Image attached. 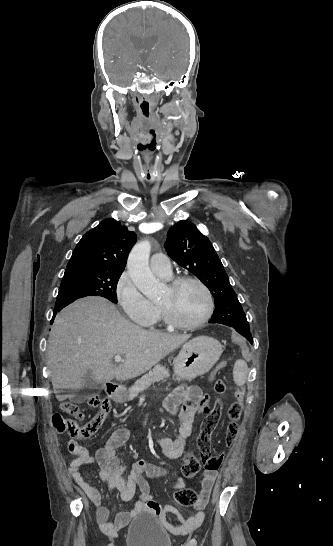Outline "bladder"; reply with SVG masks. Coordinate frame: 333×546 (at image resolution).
Segmentation results:
<instances>
[{
    "label": "bladder",
    "instance_id": "1",
    "mask_svg": "<svg viewBox=\"0 0 333 546\" xmlns=\"http://www.w3.org/2000/svg\"><path fill=\"white\" fill-rule=\"evenodd\" d=\"M126 543L127 546H172L167 531L152 514L139 515L131 522Z\"/></svg>",
    "mask_w": 333,
    "mask_h": 546
}]
</instances>
